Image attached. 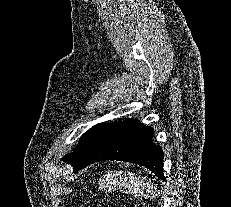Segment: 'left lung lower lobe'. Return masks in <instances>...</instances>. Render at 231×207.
Here are the masks:
<instances>
[{
    "label": "left lung lower lobe",
    "instance_id": "0a47b994",
    "mask_svg": "<svg viewBox=\"0 0 231 207\" xmlns=\"http://www.w3.org/2000/svg\"><path fill=\"white\" fill-rule=\"evenodd\" d=\"M153 133L152 128L135 119L104 124L73 171L77 172L98 161L119 160L145 166L165 180L163 151L152 142Z\"/></svg>",
    "mask_w": 231,
    "mask_h": 207
}]
</instances>
